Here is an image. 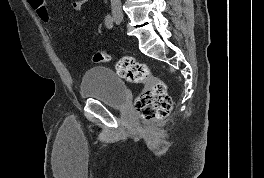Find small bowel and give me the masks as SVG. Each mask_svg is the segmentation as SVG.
<instances>
[{"label": "small bowel", "mask_w": 264, "mask_h": 178, "mask_svg": "<svg viewBox=\"0 0 264 178\" xmlns=\"http://www.w3.org/2000/svg\"><path fill=\"white\" fill-rule=\"evenodd\" d=\"M88 2L89 0H72L70 7L75 12H81Z\"/></svg>", "instance_id": "1"}]
</instances>
